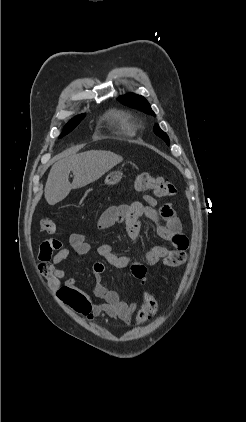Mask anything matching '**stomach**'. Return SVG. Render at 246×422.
Listing matches in <instances>:
<instances>
[{
	"label": "stomach",
	"mask_w": 246,
	"mask_h": 422,
	"mask_svg": "<svg viewBox=\"0 0 246 422\" xmlns=\"http://www.w3.org/2000/svg\"><path fill=\"white\" fill-rule=\"evenodd\" d=\"M121 178H122L121 172H111L110 174L106 176L105 184L109 186H113L117 184L121 180Z\"/></svg>",
	"instance_id": "obj_1"
}]
</instances>
